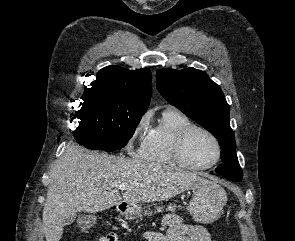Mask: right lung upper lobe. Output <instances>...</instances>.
Instances as JSON below:
<instances>
[{"label": "right lung upper lobe", "mask_w": 295, "mask_h": 241, "mask_svg": "<svg viewBox=\"0 0 295 241\" xmlns=\"http://www.w3.org/2000/svg\"><path fill=\"white\" fill-rule=\"evenodd\" d=\"M151 79L148 68L128 70L111 65L98 71L84 95L101 92L147 110L152 94Z\"/></svg>", "instance_id": "cb5924a9"}]
</instances>
